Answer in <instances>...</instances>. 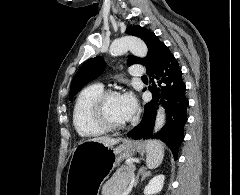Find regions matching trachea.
I'll return each mask as SVG.
<instances>
[{"mask_svg": "<svg viewBox=\"0 0 240 195\" xmlns=\"http://www.w3.org/2000/svg\"><path fill=\"white\" fill-rule=\"evenodd\" d=\"M141 78H147L146 75H143Z\"/></svg>", "mask_w": 240, "mask_h": 195, "instance_id": "3493384b", "label": "trachea"}]
</instances>
